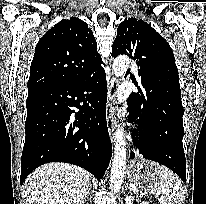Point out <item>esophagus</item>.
Returning <instances> with one entry per match:
<instances>
[{
	"label": "esophagus",
	"mask_w": 206,
	"mask_h": 204,
	"mask_svg": "<svg viewBox=\"0 0 206 204\" xmlns=\"http://www.w3.org/2000/svg\"><path fill=\"white\" fill-rule=\"evenodd\" d=\"M117 87H118V80L115 76H112L109 82L107 115H106L108 131L112 141L114 140L115 129H116V116H115L114 104L117 95Z\"/></svg>",
	"instance_id": "obj_1"
}]
</instances>
